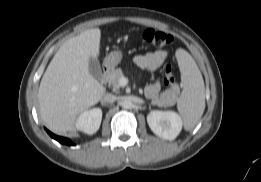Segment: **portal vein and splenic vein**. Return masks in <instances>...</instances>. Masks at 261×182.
<instances>
[{
  "mask_svg": "<svg viewBox=\"0 0 261 182\" xmlns=\"http://www.w3.org/2000/svg\"><path fill=\"white\" fill-rule=\"evenodd\" d=\"M119 83H120L121 85H125V84H126V78H125V77L120 78Z\"/></svg>",
  "mask_w": 261,
  "mask_h": 182,
  "instance_id": "1",
  "label": "portal vein and splenic vein"
}]
</instances>
